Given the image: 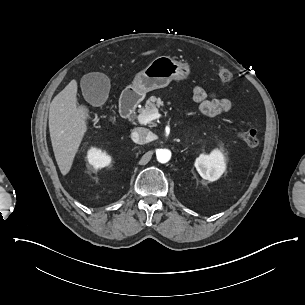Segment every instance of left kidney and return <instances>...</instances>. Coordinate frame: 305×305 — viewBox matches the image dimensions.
<instances>
[{"instance_id":"5707ae66","label":"left kidney","mask_w":305,"mask_h":305,"mask_svg":"<svg viewBox=\"0 0 305 305\" xmlns=\"http://www.w3.org/2000/svg\"><path fill=\"white\" fill-rule=\"evenodd\" d=\"M195 167L203 179L214 181L220 177L225 167V158L219 152H215L212 156H200Z\"/></svg>"}]
</instances>
